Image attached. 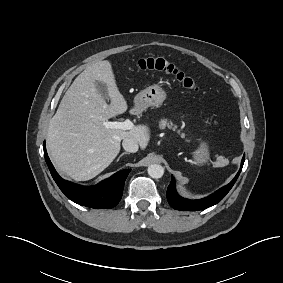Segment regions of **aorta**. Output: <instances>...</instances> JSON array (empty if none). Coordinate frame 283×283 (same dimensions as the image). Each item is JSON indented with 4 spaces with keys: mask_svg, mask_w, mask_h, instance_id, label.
<instances>
[{
    "mask_svg": "<svg viewBox=\"0 0 283 283\" xmlns=\"http://www.w3.org/2000/svg\"><path fill=\"white\" fill-rule=\"evenodd\" d=\"M148 174L154 179L161 178L164 175V168L159 164H151L148 167Z\"/></svg>",
    "mask_w": 283,
    "mask_h": 283,
    "instance_id": "obj_1",
    "label": "aorta"
}]
</instances>
